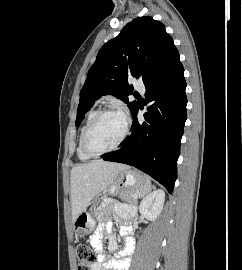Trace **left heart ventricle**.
Segmentation results:
<instances>
[{"instance_id": "1", "label": "left heart ventricle", "mask_w": 242, "mask_h": 270, "mask_svg": "<svg viewBox=\"0 0 242 270\" xmlns=\"http://www.w3.org/2000/svg\"><path fill=\"white\" fill-rule=\"evenodd\" d=\"M125 127V119L121 114L103 116L92 129L88 145L94 151L108 149L121 138Z\"/></svg>"}]
</instances>
